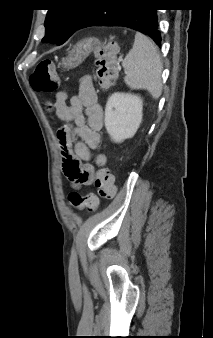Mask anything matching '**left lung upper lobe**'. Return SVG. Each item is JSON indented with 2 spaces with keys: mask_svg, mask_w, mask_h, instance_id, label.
Segmentation results:
<instances>
[{
  "mask_svg": "<svg viewBox=\"0 0 213 338\" xmlns=\"http://www.w3.org/2000/svg\"><path fill=\"white\" fill-rule=\"evenodd\" d=\"M104 1L106 0H50L51 7L46 16V31L42 41L63 44Z\"/></svg>",
  "mask_w": 213,
  "mask_h": 338,
  "instance_id": "left-lung-upper-lobe-1",
  "label": "left lung upper lobe"
}]
</instances>
